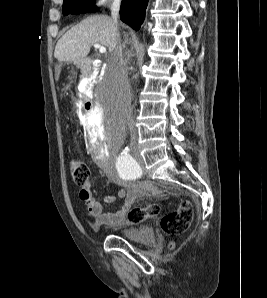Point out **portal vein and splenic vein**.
Here are the masks:
<instances>
[{"instance_id":"portal-vein-and-splenic-vein-1","label":"portal vein and splenic vein","mask_w":267,"mask_h":298,"mask_svg":"<svg viewBox=\"0 0 267 298\" xmlns=\"http://www.w3.org/2000/svg\"><path fill=\"white\" fill-rule=\"evenodd\" d=\"M94 47H95L96 49H99V52H100V53H106V48H105L104 46L100 45L99 43H95V44H94Z\"/></svg>"}]
</instances>
